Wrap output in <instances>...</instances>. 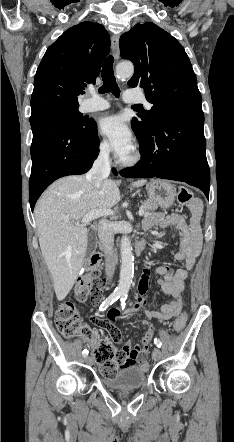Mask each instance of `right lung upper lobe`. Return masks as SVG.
<instances>
[{
  "label": "right lung upper lobe",
  "instance_id": "cb5924a9",
  "mask_svg": "<svg viewBox=\"0 0 234 442\" xmlns=\"http://www.w3.org/2000/svg\"><path fill=\"white\" fill-rule=\"evenodd\" d=\"M110 49L108 32L100 24L83 22L65 31L45 52L34 79L31 115L78 107L77 96L95 84Z\"/></svg>",
  "mask_w": 234,
  "mask_h": 442
}]
</instances>
